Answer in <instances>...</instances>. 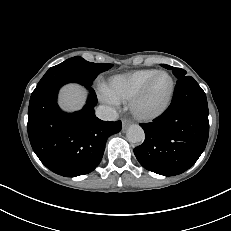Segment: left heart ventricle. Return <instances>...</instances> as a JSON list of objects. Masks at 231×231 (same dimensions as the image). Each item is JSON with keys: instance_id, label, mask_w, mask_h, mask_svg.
<instances>
[{"instance_id": "b2bd125f", "label": "left heart ventricle", "mask_w": 231, "mask_h": 231, "mask_svg": "<svg viewBox=\"0 0 231 231\" xmlns=\"http://www.w3.org/2000/svg\"><path fill=\"white\" fill-rule=\"evenodd\" d=\"M169 86L170 82L167 76H158L148 96L143 101L142 108L150 110L160 105L168 93Z\"/></svg>"}]
</instances>
